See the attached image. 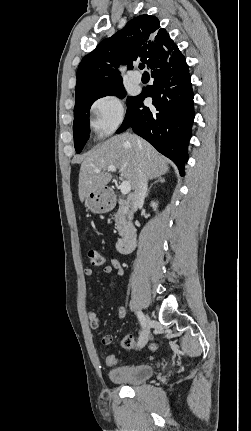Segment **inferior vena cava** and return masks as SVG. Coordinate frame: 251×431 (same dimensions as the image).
<instances>
[{
  "instance_id": "inferior-vena-cava-1",
  "label": "inferior vena cava",
  "mask_w": 251,
  "mask_h": 431,
  "mask_svg": "<svg viewBox=\"0 0 251 431\" xmlns=\"http://www.w3.org/2000/svg\"><path fill=\"white\" fill-rule=\"evenodd\" d=\"M148 187V178L144 172L142 164L140 163V169L138 174V184L135 188L132 196V207L136 211L137 207L144 202Z\"/></svg>"
}]
</instances>
